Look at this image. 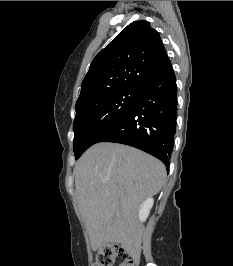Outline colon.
Returning a JSON list of instances; mask_svg holds the SVG:
<instances>
[{
	"label": "colon",
	"instance_id": "1",
	"mask_svg": "<svg viewBox=\"0 0 233 266\" xmlns=\"http://www.w3.org/2000/svg\"><path fill=\"white\" fill-rule=\"evenodd\" d=\"M117 257H123L119 266H137V256L124 253L117 244L109 245L101 250L97 254L95 266H115Z\"/></svg>",
	"mask_w": 233,
	"mask_h": 266
}]
</instances>
